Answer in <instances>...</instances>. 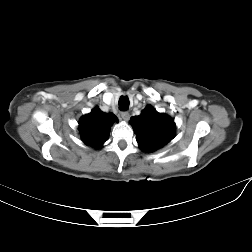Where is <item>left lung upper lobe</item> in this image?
I'll return each mask as SVG.
<instances>
[{"label": "left lung upper lobe", "instance_id": "left-lung-upper-lobe-1", "mask_svg": "<svg viewBox=\"0 0 252 252\" xmlns=\"http://www.w3.org/2000/svg\"><path fill=\"white\" fill-rule=\"evenodd\" d=\"M136 141L141 150L154 152L171 141L175 136L174 119L156 111L151 105L142 113L130 119Z\"/></svg>", "mask_w": 252, "mask_h": 252}]
</instances>
